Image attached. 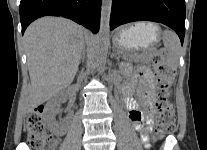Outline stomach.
Segmentation results:
<instances>
[{"mask_svg": "<svg viewBox=\"0 0 207 150\" xmlns=\"http://www.w3.org/2000/svg\"><path fill=\"white\" fill-rule=\"evenodd\" d=\"M160 28L151 22H137L121 29L115 36V46L125 53H140L158 41Z\"/></svg>", "mask_w": 207, "mask_h": 150, "instance_id": "obj_1", "label": "stomach"}]
</instances>
